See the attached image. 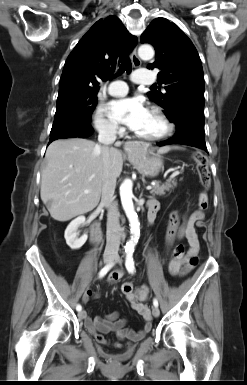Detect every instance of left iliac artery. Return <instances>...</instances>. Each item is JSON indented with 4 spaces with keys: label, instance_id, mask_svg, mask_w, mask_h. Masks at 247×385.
Masks as SVG:
<instances>
[{
    "label": "left iliac artery",
    "instance_id": "left-iliac-artery-1",
    "mask_svg": "<svg viewBox=\"0 0 247 385\" xmlns=\"http://www.w3.org/2000/svg\"><path fill=\"white\" fill-rule=\"evenodd\" d=\"M126 269L129 273L133 274L135 272L134 260H133V251H128L126 255L125 261ZM153 305L158 307V300L156 298L153 299Z\"/></svg>",
    "mask_w": 247,
    "mask_h": 385
}]
</instances>
